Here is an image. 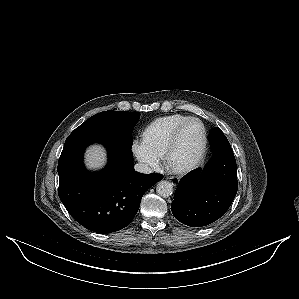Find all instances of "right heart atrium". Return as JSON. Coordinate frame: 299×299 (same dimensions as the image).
I'll return each instance as SVG.
<instances>
[{
	"label": "right heart atrium",
	"mask_w": 299,
	"mask_h": 299,
	"mask_svg": "<svg viewBox=\"0 0 299 299\" xmlns=\"http://www.w3.org/2000/svg\"><path fill=\"white\" fill-rule=\"evenodd\" d=\"M132 153L136 159L149 170L157 169L160 165V158L151 153L143 141H134L132 144Z\"/></svg>",
	"instance_id": "d8ad5b80"
}]
</instances>
